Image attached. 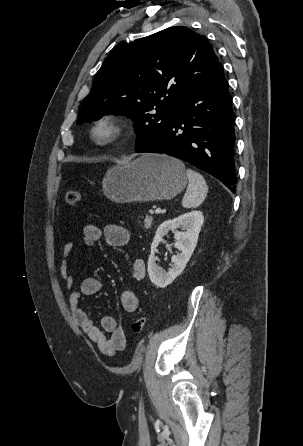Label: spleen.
<instances>
[{"label":"spleen","instance_id":"obj_1","mask_svg":"<svg viewBox=\"0 0 303 446\" xmlns=\"http://www.w3.org/2000/svg\"><path fill=\"white\" fill-rule=\"evenodd\" d=\"M186 174L189 183L182 200V206L184 208H196L205 200L208 186L200 173L187 169Z\"/></svg>","mask_w":303,"mask_h":446}]
</instances>
